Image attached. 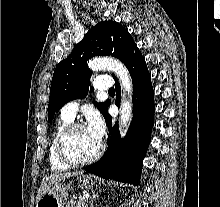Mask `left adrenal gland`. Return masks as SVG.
Here are the masks:
<instances>
[{
	"label": "left adrenal gland",
	"mask_w": 220,
	"mask_h": 207,
	"mask_svg": "<svg viewBox=\"0 0 220 207\" xmlns=\"http://www.w3.org/2000/svg\"><path fill=\"white\" fill-rule=\"evenodd\" d=\"M98 196H99L98 194H95L94 192H92V198H91V201H90V207H93V202H94V200H95Z\"/></svg>",
	"instance_id": "a2214340"
}]
</instances>
